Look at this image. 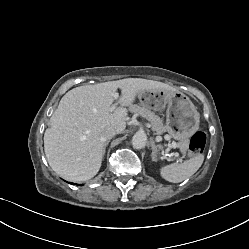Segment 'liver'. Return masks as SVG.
Listing matches in <instances>:
<instances>
[{
    "label": "liver",
    "instance_id": "1",
    "mask_svg": "<svg viewBox=\"0 0 249 249\" xmlns=\"http://www.w3.org/2000/svg\"><path fill=\"white\" fill-rule=\"evenodd\" d=\"M121 89V107L111 109L117 89ZM143 90L178 91L153 80L127 78L84 85L68 91L50 118L44 133V150L50 167L69 181H87L99 171L105 141L101 132L107 126L118 133L129 119L126 106L132 105Z\"/></svg>",
    "mask_w": 249,
    "mask_h": 249
}]
</instances>
